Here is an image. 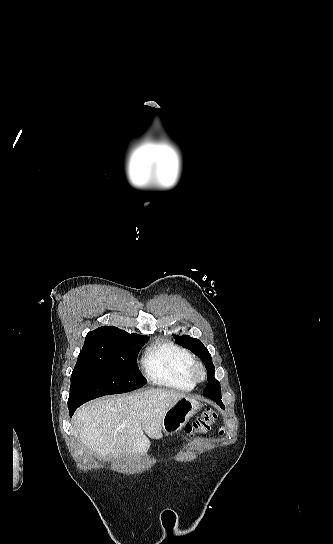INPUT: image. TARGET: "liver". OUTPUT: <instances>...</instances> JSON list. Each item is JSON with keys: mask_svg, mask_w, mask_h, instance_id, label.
<instances>
[{"mask_svg": "<svg viewBox=\"0 0 333 544\" xmlns=\"http://www.w3.org/2000/svg\"><path fill=\"white\" fill-rule=\"evenodd\" d=\"M185 395L165 389H149L86 404L74 415L82 443L100 457L145 455L150 440L161 436L167 410Z\"/></svg>", "mask_w": 333, "mask_h": 544, "instance_id": "obj_1", "label": "liver"}]
</instances>
